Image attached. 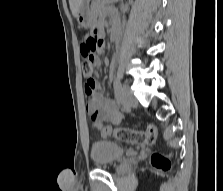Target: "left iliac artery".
I'll list each match as a JSON object with an SVG mask.
<instances>
[{
    "mask_svg": "<svg viewBox=\"0 0 223 191\" xmlns=\"http://www.w3.org/2000/svg\"><path fill=\"white\" fill-rule=\"evenodd\" d=\"M114 88L116 92V97L120 101L121 100V84L118 78H115Z\"/></svg>",
    "mask_w": 223,
    "mask_h": 191,
    "instance_id": "left-iliac-artery-1",
    "label": "left iliac artery"
}]
</instances>
